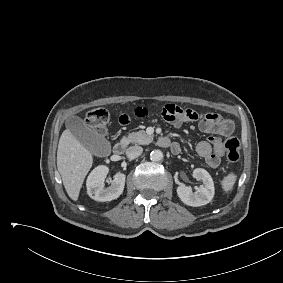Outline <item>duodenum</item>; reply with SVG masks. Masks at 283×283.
I'll return each instance as SVG.
<instances>
[{"mask_svg": "<svg viewBox=\"0 0 283 283\" xmlns=\"http://www.w3.org/2000/svg\"><path fill=\"white\" fill-rule=\"evenodd\" d=\"M159 145L163 146V147H171V149L174 151V153H178V149L177 147L174 145V143H171V141L169 140V138L167 137H162L159 139ZM127 148V144L126 142H118L114 145L113 147V154L116 157H120L122 156Z\"/></svg>", "mask_w": 283, "mask_h": 283, "instance_id": "obj_1", "label": "duodenum"}]
</instances>
